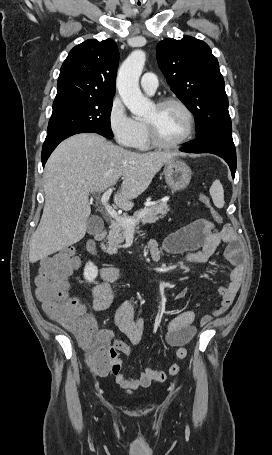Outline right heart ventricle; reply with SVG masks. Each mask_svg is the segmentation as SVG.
Segmentation results:
<instances>
[{"label": "right heart ventricle", "mask_w": 272, "mask_h": 455, "mask_svg": "<svg viewBox=\"0 0 272 455\" xmlns=\"http://www.w3.org/2000/svg\"><path fill=\"white\" fill-rule=\"evenodd\" d=\"M140 125V134L139 137L134 145V148L141 150V151H146L151 148V143L148 138V133H147V128L145 126L144 122H139Z\"/></svg>", "instance_id": "obj_1"}]
</instances>
